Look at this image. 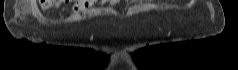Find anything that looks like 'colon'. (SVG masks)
<instances>
[{"label":"colon","instance_id":"colon-1","mask_svg":"<svg viewBox=\"0 0 238 70\" xmlns=\"http://www.w3.org/2000/svg\"><path fill=\"white\" fill-rule=\"evenodd\" d=\"M71 0H60V1H55V0H40V5L42 8L47 9L52 7L53 5L57 4V2H70Z\"/></svg>","mask_w":238,"mask_h":70}]
</instances>
